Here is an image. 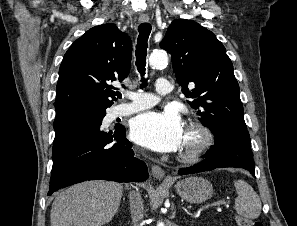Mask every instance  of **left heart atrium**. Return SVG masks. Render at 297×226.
<instances>
[{"mask_svg": "<svg viewBox=\"0 0 297 226\" xmlns=\"http://www.w3.org/2000/svg\"><path fill=\"white\" fill-rule=\"evenodd\" d=\"M133 141L157 152H173L184 145L185 128L174 111H148L136 116L130 125Z\"/></svg>", "mask_w": 297, "mask_h": 226, "instance_id": "39dd6f15", "label": "left heart atrium"}]
</instances>
